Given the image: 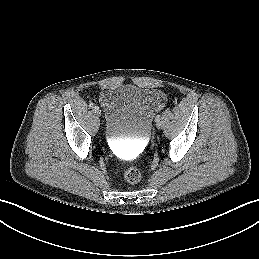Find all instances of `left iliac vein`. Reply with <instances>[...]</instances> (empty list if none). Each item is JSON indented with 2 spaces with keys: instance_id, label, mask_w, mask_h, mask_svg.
Here are the masks:
<instances>
[{
  "instance_id": "4c4485c4",
  "label": "left iliac vein",
  "mask_w": 259,
  "mask_h": 259,
  "mask_svg": "<svg viewBox=\"0 0 259 259\" xmlns=\"http://www.w3.org/2000/svg\"><path fill=\"white\" fill-rule=\"evenodd\" d=\"M157 126L160 128V127H161V123H160V122H158V123H157Z\"/></svg>"
}]
</instances>
